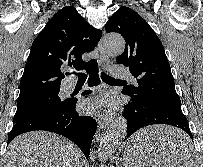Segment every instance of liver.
Here are the masks:
<instances>
[{"label":"liver","mask_w":203,"mask_h":167,"mask_svg":"<svg viewBox=\"0 0 203 167\" xmlns=\"http://www.w3.org/2000/svg\"><path fill=\"white\" fill-rule=\"evenodd\" d=\"M187 138L178 129L156 126L139 131L131 137L127 147L131 149L144 140H157L163 160H176L185 152L180 144ZM80 163L79 149L72 142L56 134L35 131L12 140L5 154L4 167H80Z\"/></svg>","instance_id":"6515ba94"}]
</instances>
